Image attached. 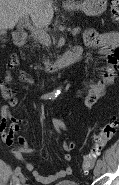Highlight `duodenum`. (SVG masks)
I'll use <instances>...</instances> for the list:
<instances>
[{"label": "duodenum", "mask_w": 119, "mask_h": 185, "mask_svg": "<svg viewBox=\"0 0 119 185\" xmlns=\"http://www.w3.org/2000/svg\"><path fill=\"white\" fill-rule=\"evenodd\" d=\"M14 40L17 45H24L27 40V34L24 31H17L14 33ZM82 55V49L80 47H74L58 57L51 64L46 67V71L53 73L67 66H70L78 62Z\"/></svg>", "instance_id": "1"}]
</instances>
